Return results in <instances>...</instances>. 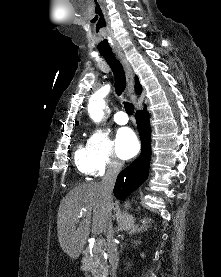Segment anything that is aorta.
Returning <instances> with one entry per match:
<instances>
[{"mask_svg":"<svg viewBox=\"0 0 221 277\" xmlns=\"http://www.w3.org/2000/svg\"><path fill=\"white\" fill-rule=\"evenodd\" d=\"M104 105H105V102L103 100L89 104L88 112H89L91 118L95 122H99L102 120L103 115H104V112H103ZM124 207L126 209H128L130 207L129 201L125 202Z\"/></svg>","mask_w":221,"mask_h":277,"instance_id":"1","label":"aorta"}]
</instances>
